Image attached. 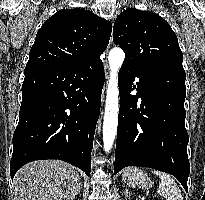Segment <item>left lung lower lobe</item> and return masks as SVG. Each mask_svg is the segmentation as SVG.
<instances>
[{
  "label": "left lung lower lobe",
  "instance_id": "0a47b994",
  "mask_svg": "<svg viewBox=\"0 0 205 200\" xmlns=\"http://www.w3.org/2000/svg\"><path fill=\"white\" fill-rule=\"evenodd\" d=\"M135 76L140 80L132 87ZM185 79L181 65L140 71L121 67L115 174L126 166L150 167L174 175L188 191ZM135 88L137 95H130Z\"/></svg>",
  "mask_w": 205,
  "mask_h": 200
}]
</instances>
